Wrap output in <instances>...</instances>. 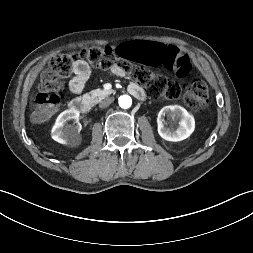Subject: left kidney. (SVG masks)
Returning <instances> with one entry per match:
<instances>
[{"instance_id":"obj_1","label":"left kidney","mask_w":253,"mask_h":253,"mask_svg":"<svg viewBox=\"0 0 253 253\" xmlns=\"http://www.w3.org/2000/svg\"><path fill=\"white\" fill-rule=\"evenodd\" d=\"M179 121L177 129L164 125V117ZM158 133L166 141L178 142L188 138L195 129V120L192 114L179 105L163 107L157 117Z\"/></svg>"}]
</instances>
